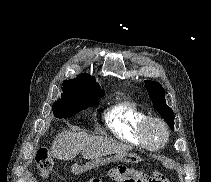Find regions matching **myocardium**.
<instances>
[{
	"label": "myocardium",
	"mask_w": 211,
	"mask_h": 182,
	"mask_svg": "<svg viewBox=\"0 0 211 182\" xmlns=\"http://www.w3.org/2000/svg\"><path fill=\"white\" fill-rule=\"evenodd\" d=\"M152 123L159 124L162 127L165 134L164 139L160 143L155 144V145L149 142L147 134H146L148 126ZM138 135L144 147L150 150H157L165 146L167 142L169 141L170 130L167 123L162 118L157 117V116H146L140 123L139 129H138Z\"/></svg>",
	"instance_id": "obj_1"
}]
</instances>
